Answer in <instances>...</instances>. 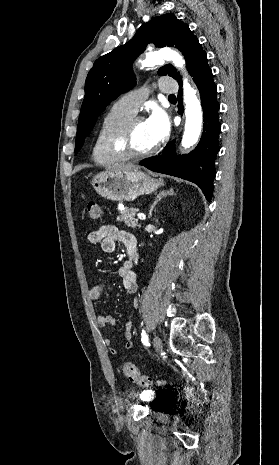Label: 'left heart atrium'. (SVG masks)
<instances>
[{
  "mask_svg": "<svg viewBox=\"0 0 279 465\" xmlns=\"http://www.w3.org/2000/svg\"><path fill=\"white\" fill-rule=\"evenodd\" d=\"M145 123L155 143L163 140L169 133L168 117L158 108L153 110Z\"/></svg>",
  "mask_w": 279,
  "mask_h": 465,
  "instance_id": "left-heart-atrium-1",
  "label": "left heart atrium"
}]
</instances>
